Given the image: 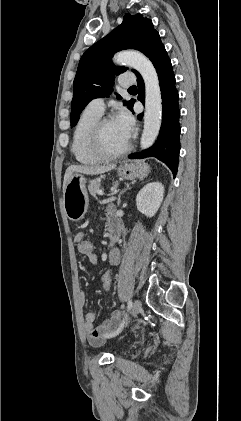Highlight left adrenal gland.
Here are the masks:
<instances>
[{"label": "left adrenal gland", "mask_w": 241, "mask_h": 421, "mask_svg": "<svg viewBox=\"0 0 241 421\" xmlns=\"http://www.w3.org/2000/svg\"><path fill=\"white\" fill-rule=\"evenodd\" d=\"M130 189V186L129 185H127V187L125 188V189H123L120 193H119V195H118V200H117V206H120V204H121V195L123 194V193H125L127 190H129Z\"/></svg>", "instance_id": "a2214340"}]
</instances>
